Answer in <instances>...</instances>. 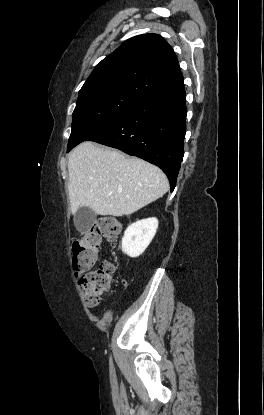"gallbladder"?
<instances>
[{"mask_svg":"<svg viewBox=\"0 0 264 415\" xmlns=\"http://www.w3.org/2000/svg\"><path fill=\"white\" fill-rule=\"evenodd\" d=\"M96 220V213L88 207H80L74 216L76 229L85 234Z\"/></svg>","mask_w":264,"mask_h":415,"instance_id":"bac80fb5","label":"gallbladder"}]
</instances>
